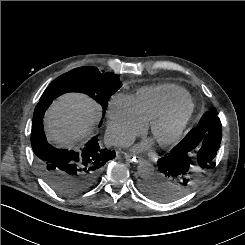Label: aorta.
Returning a JSON list of instances; mask_svg holds the SVG:
<instances>
[{
	"instance_id": "obj_1",
	"label": "aorta",
	"mask_w": 245,
	"mask_h": 245,
	"mask_svg": "<svg viewBox=\"0 0 245 245\" xmlns=\"http://www.w3.org/2000/svg\"><path fill=\"white\" fill-rule=\"evenodd\" d=\"M137 170L143 179H148L154 174V166L148 161H142L139 163Z\"/></svg>"
}]
</instances>
